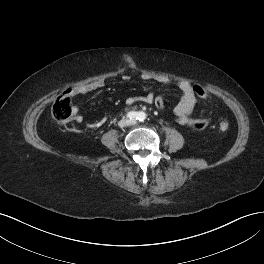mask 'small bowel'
I'll return each mask as SVG.
<instances>
[{
    "label": "small bowel",
    "mask_w": 264,
    "mask_h": 264,
    "mask_svg": "<svg viewBox=\"0 0 264 264\" xmlns=\"http://www.w3.org/2000/svg\"><path fill=\"white\" fill-rule=\"evenodd\" d=\"M124 80H128V76H123ZM143 80H149L150 77L143 75ZM161 84L167 85L169 84V79L166 77H159L156 79ZM105 83L103 80H96L93 82H89L86 84L74 86L71 89H69L68 94L71 96L80 95V94H86L92 91H95L97 89H100L104 87ZM178 88L182 93L181 99L179 103L174 108V113L177 117V121L181 125L188 124L189 116L192 114L197 99L195 97V94L192 90L191 85L186 81H181L178 83ZM144 102L147 104H154L156 108L163 109L164 108V98L162 95H154L152 92H148L141 96H133L126 99L127 105H132L135 102ZM77 123H81L83 121V117L81 115H77L75 118Z\"/></svg>",
    "instance_id": "1"
}]
</instances>
